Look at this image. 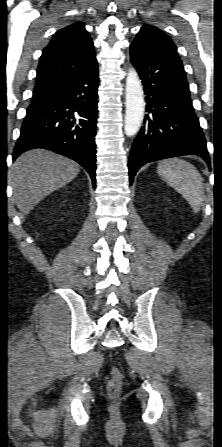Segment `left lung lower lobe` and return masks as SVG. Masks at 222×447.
I'll use <instances>...</instances> for the list:
<instances>
[{"label": "left lung lower lobe", "instance_id": "0a47b994", "mask_svg": "<svg viewBox=\"0 0 222 447\" xmlns=\"http://www.w3.org/2000/svg\"><path fill=\"white\" fill-rule=\"evenodd\" d=\"M130 59L142 79L148 112L130 152V185L139 168L152 161L194 154L209 163L204 134L176 49L137 35L130 45Z\"/></svg>", "mask_w": 222, "mask_h": 447}]
</instances>
